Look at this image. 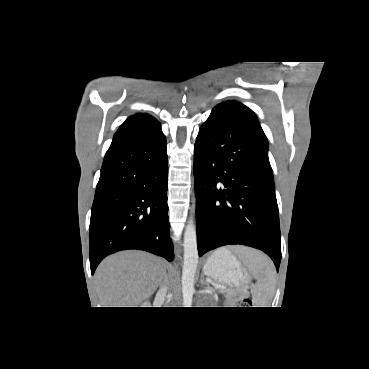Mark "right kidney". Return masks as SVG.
<instances>
[{
	"instance_id": "ca27d5eb",
	"label": "right kidney",
	"mask_w": 369,
	"mask_h": 369,
	"mask_svg": "<svg viewBox=\"0 0 369 369\" xmlns=\"http://www.w3.org/2000/svg\"><path fill=\"white\" fill-rule=\"evenodd\" d=\"M148 304H149V302H145V303L142 305V307H147V306H148Z\"/></svg>"
}]
</instances>
